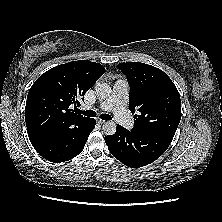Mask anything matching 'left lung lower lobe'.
I'll return each instance as SVG.
<instances>
[{
    "label": "left lung lower lobe",
    "mask_w": 222,
    "mask_h": 222,
    "mask_svg": "<svg viewBox=\"0 0 222 222\" xmlns=\"http://www.w3.org/2000/svg\"><path fill=\"white\" fill-rule=\"evenodd\" d=\"M174 135L163 132L128 131L117 125L116 133L106 136L111 154L123 164L139 168L157 160L169 147Z\"/></svg>",
    "instance_id": "obj_1"
}]
</instances>
